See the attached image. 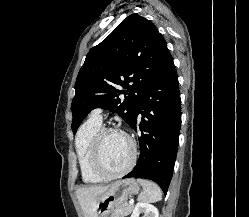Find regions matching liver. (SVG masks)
<instances>
[{"instance_id":"liver-1","label":"liver","mask_w":249,"mask_h":217,"mask_svg":"<svg viewBox=\"0 0 249 217\" xmlns=\"http://www.w3.org/2000/svg\"><path fill=\"white\" fill-rule=\"evenodd\" d=\"M110 186H90L76 191L84 217H98L96 209L97 198L106 192Z\"/></svg>"}]
</instances>
